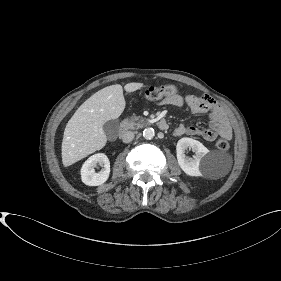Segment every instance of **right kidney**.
I'll return each instance as SVG.
<instances>
[{
  "label": "right kidney",
  "mask_w": 281,
  "mask_h": 281,
  "mask_svg": "<svg viewBox=\"0 0 281 281\" xmlns=\"http://www.w3.org/2000/svg\"><path fill=\"white\" fill-rule=\"evenodd\" d=\"M99 164L103 168L100 172H95L94 167ZM110 174V162L103 153L90 156L81 168L82 182L88 186H98L107 181Z\"/></svg>",
  "instance_id": "obj_1"
}]
</instances>
